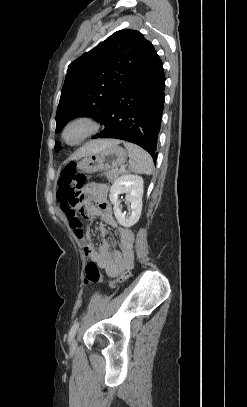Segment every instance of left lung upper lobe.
Returning a JSON list of instances; mask_svg holds the SVG:
<instances>
[{
  "label": "left lung upper lobe",
  "instance_id": "obj_1",
  "mask_svg": "<svg viewBox=\"0 0 247 407\" xmlns=\"http://www.w3.org/2000/svg\"><path fill=\"white\" fill-rule=\"evenodd\" d=\"M155 52L143 34L123 29L74 60L61 91L55 132L80 116L103 123L117 95ZM55 148L58 151L60 144L56 143Z\"/></svg>",
  "mask_w": 247,
  "mask_h": 407
}]
</instances>
